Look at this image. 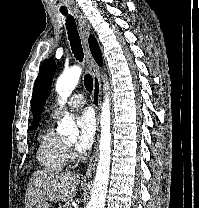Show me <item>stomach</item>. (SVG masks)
Wrapping results in <instances>:
<instances>
[{"label": "stomach", "instance_id": "0dacf381", "mask_svg": "<svg viewBox=\"0 0 199 208\" xmlns=\"http://www.w3.org/2000/svg\"><path fill=\"white\" fill-rule=\"evenodd\" d=\"M35 208H49V204L47 202H38Z\"/></svg>", "mask_w": 199, "mask_h": 208}]
</instances>
